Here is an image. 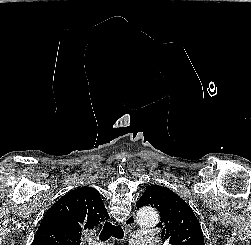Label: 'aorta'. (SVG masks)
Listing matches in <instances>:
<instances>
[{"label":"aorta","instance_id":"obj_1","mask_svg":"<svg viewBox=\"0 0 251 245\" xmlns=\"http://www.w3.org/2000/svg\"><path fill=\"white\" fill-rule=\"evenodd\" d=\"M159 221L158 213L154 208L144 207L138 211V222L143 227H153Z\"/></svg>","mask_w":251,"mask_h":245}]
</instances>
